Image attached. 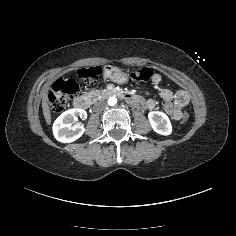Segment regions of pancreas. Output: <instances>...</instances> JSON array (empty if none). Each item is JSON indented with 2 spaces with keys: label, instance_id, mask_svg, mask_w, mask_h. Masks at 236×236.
Wrapping results in <instances>:
<instances>
[{
  "label": "pancreas",
  "instance_id": "1",
  "mask_svg": "<svg viewBox=\"0 0 236 236\" xmlns=\"http://www.w3.org/2000/svg\"><path fill=\"white\" fill-rule=\"evenodd\" d=\"M88 96L92 99L93 102L102 98V93L100 90H91L88 92Z\"/></svg>",
  "mask_w": 236,
  "mask_h": 236
}]
</instances>
